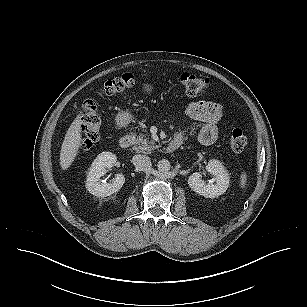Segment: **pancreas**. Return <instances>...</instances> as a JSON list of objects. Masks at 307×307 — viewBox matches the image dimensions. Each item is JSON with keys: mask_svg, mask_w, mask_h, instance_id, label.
<instances>
[{"mask_svg": "<svg viewBox=\"0 0 307 307\" xmlns=\"http://www.w3.org/2000/svg\"><path fill=\"white\" fill-rule=\"evenodd\" d=\"M131 137H134V146L133 150H135L138 153H147L150 154L154 151V149L157 148L155 145V141L149 140L148 137H146L145 134H140L136 137L135 134L131 133Z\"/></svg>", "mask_w": 307, "mask_h": 307, "instance_id": "cf45deb5", "label": "pancreas"}]
</instances>
